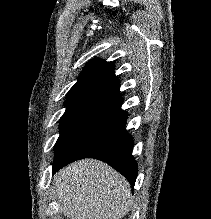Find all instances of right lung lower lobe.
I'll return each mask as SVG.
<instances>
[{
	"label": "right lung lower lobe",
	"instance_id": "1",
	"mask_svg": "<svg viewBox=\"0 0 211 219\" xmlns=\"http://www.w3.org/2000/svg\"><path fill=\"white\" fill-rule=\"evenodd\" d=\"M126 119V111L119 108L57 162L53 174L73 161L95 158L108 163L134 186L138 166L132 157L133 138L125 130Z\"/></svg>",
	"mask_w": 211,
	"mask_h": 219
}]
</instances>
